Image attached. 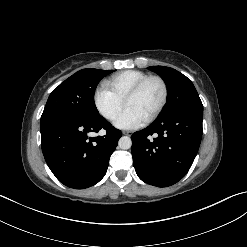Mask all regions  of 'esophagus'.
<instances>
[{
    "label": "esophagus",
    "instance_id": "obj_1",
    "mask_svg": "<svg viewBox=\"0 0 247 247\" xmlns=\"http://www.w3.org/2000/svg\"><path fill=\"white\" fill-rule=\"evenodd\" d=\"M123 134L124 135H127V136H131L132 135V132L131 131H123Z\"/></svg>",
    "mask_w": 247,
    "mask_h": 247
}]
</instances>
